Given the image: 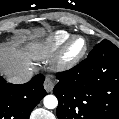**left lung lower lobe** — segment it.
<instances>
[{
    "label": "left lung lower lobe",
    "mask_w": 119,
    "mask_h": 119,
    "mask_svg": "<svg viewBox=\"0 0 119 119\" xmlns=\"http://www.w3.org/2000/svg\"><path fill=\"white\" fill-rule=\"evenodd\" d=\"M56 77L58 119H119V49L113 43L103 40Z\"/></svg>",
    "instance_id": "left-lung-lower-lobe-1"
}]
</instances>
